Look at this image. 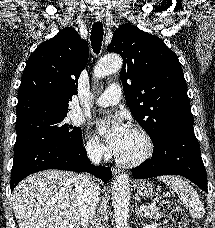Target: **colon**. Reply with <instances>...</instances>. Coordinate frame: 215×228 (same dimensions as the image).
<instances>
[{
	"mask_svg": "<svg viewBox=\"0 0 215 228\" xmlns=\"http://www.w3.org/2000/svg\"><path fill=\"white\" fill-rule=\"evenodd\" d=\"M161 213L168 219L171 228H198L197 224L188 218L184 209L176 202L166 199L160 204Z\"/></svg>",
	"mask_w": 215,
	"mask_h": 228,
	"instance_id": "5ec220e1",
	"label": "colon"
}]
</instances>
